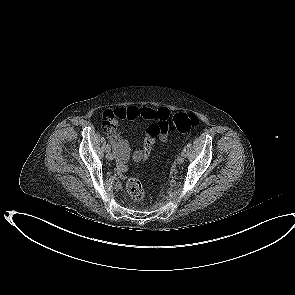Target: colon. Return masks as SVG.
Listing matches in <instances>:
<instances>
[{"instance_id":"colon-1","label":"colon","mask_w":295,"mask_h":295,"mask_svg":"<svg viewBox=\"0 0 295 295\" xmlns=\"http://www.w3.org/2000/svg\"><path fill=\"white\" fill-rule=\"evenodd\" d=\"M114 113L108 114V121L114 117ZM199 124L198 118L194 114L177 113L173 116L169 115L162 121L152 124L148 128V132L151 136L157 137L167 132H180L187 133L196 128ZM127 192L134 201H142L145 198V191L141 182L131 177L126 184Z\"/></svg>"}]
</instances>
